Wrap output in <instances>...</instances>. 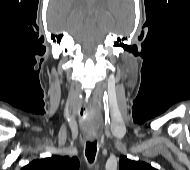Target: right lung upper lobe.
<instances>
[{
    "label": "right lung upper lobe",
    "instance_id": "right-lung-upper-lobe-1",
    "mask_svg": "<svg viewBox=\"0 0 190 170\" xmlns=\"http://www.w3.org/2000/svg\"><path fill=\"white\" fill-rule=\"evenodd\" d=\"M77 157L58 156L37 159L24 166L21 170H78Z\"/></svg>",
    "mask_w": 190,
    "mask_h": 170
}]
</instances>
